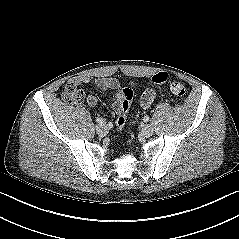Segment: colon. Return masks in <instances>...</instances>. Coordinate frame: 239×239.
<instances>
[{
    "label": "colon",
    "mask_w": 239,
    "mask_h": 239,
    "mask_svg": "<svg viewBox=\"0 0 239 239\" xmlns=\"http://www.w3.org/2000/svg\"><path fill=\"white\" fill-rule=\"evenodd\" d=\"M152 82L159 85L170 82V90L174 95L179 98H184L186 95V89L183 84L176 79L170 78L167 72L156 73L152 76ZM122 94L121 110L116 118V128L119 131L124 129L127 121V113L134 97L133 88L126 86ZM63 98L69 102L81 103L84 100V93L78 88V85L70 81L64 87Z\"/></svg>",
    "instance_id": "1"
}]
</instances>
